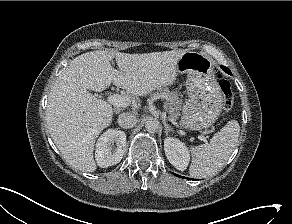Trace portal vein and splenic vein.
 I'll return each instance as SVG.
<instances>
[{
    "mask_svg": "<svg viewBox=\"0 0 292 224\" xmlns=\"http://www.w3.org/2000/svg\"><path fill=\"white\" fill-rule=\"evenodd\" d=\"M108 102L117 107H127L130 104V98L128 96L115 94L108 97ZM169 121L174 125L177 124L173 119H169ZM198 139L206 142V138L204 136H198Z\"/></svg>",
    "mask_w": 292,
    "mask_h": 224,
    "instance_id": "1",
    "label": "portal vein and splenic vein"
}]
</instances>
